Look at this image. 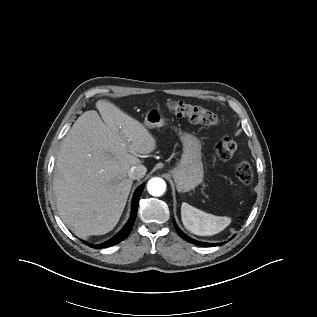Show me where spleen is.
<instances>
[{
  "label": "spleen",
  "mask_w": 317,
  "mask_h": 317,
  "mask_svg": "<svg viewBox=\"0 0 317 317\" xmlns=\"http://www.w3.org/2000/svg\"><path fill=\"white\" fill-rule=\"evenodd\" d=\"M183 225L191 233L200 236L215 235L224 230L231 223L227 216H215L199 210L186 202L181 206Z\"/></svg>",
  "instance_id": "1"
}]
</instances>
